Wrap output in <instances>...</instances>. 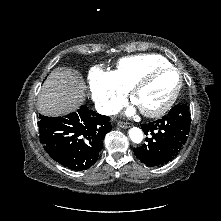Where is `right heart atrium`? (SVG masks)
Here are the masks:
<instances>
[{
	"mask_svg": "<svg viewBox=\"0 0 221 221\" xmlns=\"http://www.w3.org/2000/svg\"><path fill=\"white\" fill-rule=\"evenodd\" d=\"M89 86L98 110L105 115L115 113L124 103L128 92L118 82L113 71L99 67L90 71Z\"/></svg>",
	"mask_w": 221,
	"mask_h": 221,
	"instance_id": "1",
	"label": "right heart atrium"
}]
</instances>
